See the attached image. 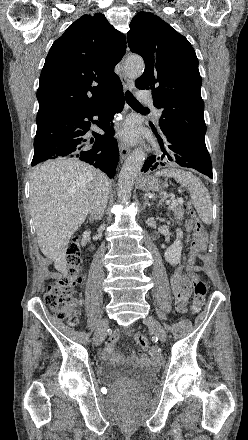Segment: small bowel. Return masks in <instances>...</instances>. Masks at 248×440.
Returning <instances> with one entry per match:
<instances>
[{"label": "small bowel", "mask_w": 248, "mask_h": 440, "mask_svg": "<svg viewBox=\"0 0 248 440\" xmlns=\"http://www.w3.org/2000/svg\"><path fill=\"white\" fill-rule=\"evenodd\" d=\"M188 231L192 230V225L187 226ZM184 264L178 266L171 275V286L176 299V309L180 313H185L187 310L188 300L191 292V283L189 277L183 273ZM119 333H114L108 340L105 356L108 359L115 358L114 348L118 341ZM156 350L152 351V358H148L146 354L140 352L137 355V360L143 363H151L154 367L158 366L159 360L155 356Z\"/></svg>", "instance_id": "1"}]
</instances>
